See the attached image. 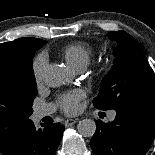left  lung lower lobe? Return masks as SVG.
<instances>
[{"label": "left lung lower lobe", "mask_w": 155, "mask_h": 155, "mask_svg": "<svg viewBox=\"0 0 155 155\" xmlns=\"http://www.w3.org/2000/svg\"><path fill=\"white\" fill-rule=\"evenodd\" d=\"M113 122L96 121L90 146L95 155H145L155 137V100L116 110Z\"/></svg>", "instance_id": "1"}]
</instances>
